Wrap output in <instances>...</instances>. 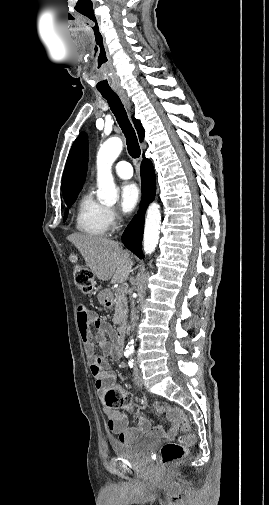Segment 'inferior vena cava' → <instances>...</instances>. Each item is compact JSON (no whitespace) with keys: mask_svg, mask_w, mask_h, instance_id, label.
<instances>
[{"mask_svg":"<svg viewBox=\"0 0 269 505\" xmlns=\"http://www.w3.org/2000/svg\"><path fill=\"white\" fill-rule=\"evenodd\" d=\"M130 301H131V311H130V319H131V325H130V329L131 331L134 329L135 327V321H136V309H135V303H134V300L132 298H130Z\"/></svg>","mask_w":269,"mask_h":505,"instance_id":"obj_1","label":"inferior vena cava"}]
</instances>
